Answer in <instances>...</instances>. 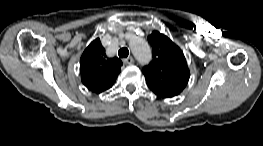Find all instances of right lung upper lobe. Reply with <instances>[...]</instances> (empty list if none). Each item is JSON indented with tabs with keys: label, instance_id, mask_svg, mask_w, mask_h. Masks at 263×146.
Masks as SVG:
<instances>
[{
	"label": "right lung upper lobe",
	"instance_id": "cb5924a9",
	"mask_svg": "<svg viewBox=\"0 0 263 146\" xmlns=\"http://www.w3.org/2000/svg\"><path fill=\"white\" fill-rule=\"evenodd\" d=\"M122 61L108 58L100 39L92 41L80 58L82 83L92 92L101 93L112 87L121 71Z\"/></svg>",
	"mask_w": 263,
	"mask_h": 146
}]
</instances>
